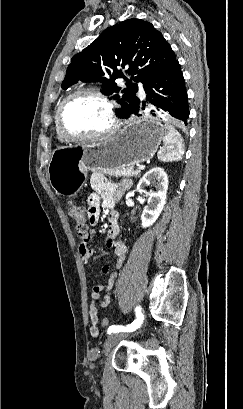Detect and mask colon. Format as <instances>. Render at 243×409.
Wrapping results in <instances>:
<instances>
[{
	"mask_svg": "<svg viewBox=\"0 0 243 409\" xmlns=\"http://www.w3.org/2000/svg\"><path fill=\"white\" fill-rule=\"evenodd\" d=\"M67 212L74 224L75 232L78 236L85 237L88 233L87 218L84 208L77 202H69L67 206ZM111 323L108 318L101 320L102 327H110Z\"/></svg>",
	"mask_w": 243,
	"mask_h": 409,
	"instance_id": "5ec220e1",
	"label": "colon"
}]
</instances>
